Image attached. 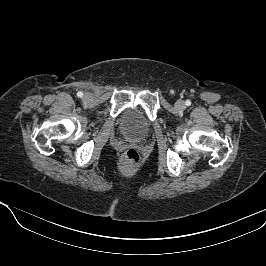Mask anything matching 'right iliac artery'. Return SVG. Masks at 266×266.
I'll return each instance as SVG.
<instances>
[{"instance_id": "right-iliac-artery-1", "label": "right iliac artery", "mask_w": 266, "mask_h": 266, "mask_svg": "<svg viewBox=\"0 0 266 266\" xmlns=\"http://www.w3.org/2000/svg\"><path fill=\"white\" fill-rule=\"evenodd\" d=\"M77 96H78V97H82V96H83V93H82L81 91H79V92L77 93Z\"/></svg>"}]
</instances>
